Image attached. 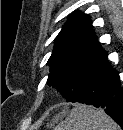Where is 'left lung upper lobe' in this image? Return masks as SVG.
<instances>
[{"mask_svg": "<svg viewBox=\"0 0 123 130\" xmlns=\"http://www.w3.org/2000/svg\"><path fill=\"white\" fill-rule=\"evenodd\" d=\"M98 46L90 16L81 12L71 14L55 39L47 62L50 66L47 82L52 86L60 84L59 89L67 102L78 100L89 73L106 53Z\"/></svg>", "mask_w": 123, "mask_h": 130, "instance_id": "1", "label": "left lung upper lobe"}]
</instances>
